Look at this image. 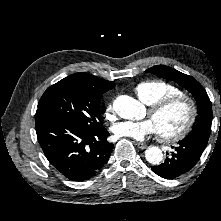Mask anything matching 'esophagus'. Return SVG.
Segmentation results:
<instances>
[{
  "label": "esophagus",
  "mask_w": 221,
  "mask_h": 221,
  "mask_svg": "<svg viewBox=\"0 0 221 221\" xmlns=\"http://www.w3.org/2000/svg\"><path fill=\"white\" fill-rule=\"evenodd\" d=\"M136 146L139 148V149H145L147 148V145L145 143H141V142H137L136 143Z\"/></svg>",
  "instance_id": "esophagus-1"
}]
</instances>
